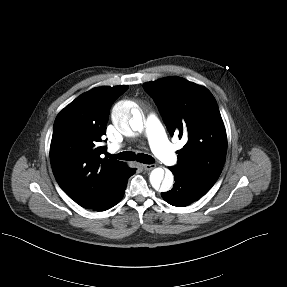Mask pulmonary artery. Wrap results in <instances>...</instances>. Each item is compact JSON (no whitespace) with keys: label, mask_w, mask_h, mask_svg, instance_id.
<instances>
[{"label":"pulmonary artery","mask_w":287,"mask_h":287,"mask_svg":"<svg viewBox=\"0 0 287 287\" xmlns=\"http://www.w3.org/2000/svg\"><path fill=\"white\" fill-rule=\"evenodd\" d=\"M145 134L149 139L152 150L160 160L170 166L177 163V155L167 140L158 118L153 114L149 115L146 120ZM118 147L114 146L113 148L117 149Z\"/></svg>","instance_id":"pulmonary-artery-1"}]
</instances>
